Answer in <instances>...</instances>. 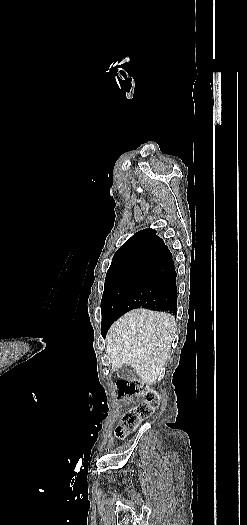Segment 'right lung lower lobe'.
<instances>
[{
	"instance_id": "obj_1",
	"label": "right lung lower lobe",
	"mask_w": 247,
	"mask_h": 525,
	"mask_svg": "<svg viewBox=\"0 0 247 525\" xmlns=\"http://www.w3.org/2000/svg\"><path fill=\"white\" fill-rule=\"evenodd\" d=\"M172 254L167 248L157 255L119 307V315L137 308L166 311L176 315L177 286ZM110 328V327H109ZM108 327L101 326L105 337Z\"/></svg>"
}]
</instances>
